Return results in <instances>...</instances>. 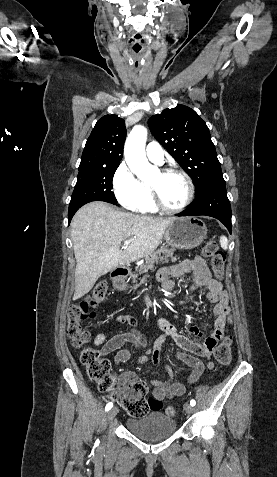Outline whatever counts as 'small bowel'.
<instances>
[{
    "label": "small bowel",
    "instance_id": "obj_1",
    "mask_svg": "<svg viewBox=\"0 0 277 477\" xmlns=\"http://www.w3.org/2000/svg\"><path fill=\"white\" fill-rule=\"evenodd\" d=\"M186 273H193V285L190 288V294L185 297L187 302H193L192 294L199 288L207 289V298L215 302L213 313L216 316L214 323V331L209 336L202 339V333L197 327H192L187 335L177 332L176 328L165 318L158 320V326L163 334L157 338L154 343L150 360L154 365L160 362V353L163 343L167 337H172L179 351L175 356L182 363L192 368V372L188 378V383L196 382L202 375L205 365L198 356L209 359L217 342L225 336L226 333V316L230 311L228 305V294L223 289L220 280L213 277L206 261L197 256L193 260H185L177 264L162 267L158 272V279L166 289H171L174 285V279L183 276ZM127 323L131 330L125 333L116 334L107 340L106 333H99L94 340L95 346L102 345L101 353L107 355L117 351L114 362L116 365L129 361L132 357L130 350L121 349L125 343H131L137 350H142L147 346L146 338L136 330V321L130 316L119 315L115 322L111 325L110 331H113L119 324ZM149 357L142 355L138 358L139 364L148 362ZM207 368H213V363L209 362ZM166 371L168 379L165 381L151 380L154 386L152 395L154 399L163 400L165 398H173L181 396L185 393L186 386L182 382L173 381L175 375L174 370L167 366ZM138 376L133 372H126L121 376L122 383H130L137 381Z\"/></svg>",
    "mask_w": 277,
    "mask_h": 477
}]
</instances>
